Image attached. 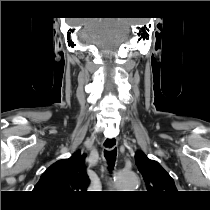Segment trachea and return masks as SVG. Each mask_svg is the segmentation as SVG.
<instances>
[{
  "label": "trachea",
  "instance_id": "obj_1",
  "mask_svg": "<svg viewBox=\"0 0 210 210\" xmlns=\"http://www.w3.org/2000/svg\"><path fill=\"white\" fill-rule=\"evenodd\" d=\"M116 155H117V149L114 148L113 150L110 151H104V156L107 160L108 163V169L111 172L113 170V167L115 165V161H116Z\"/></svg>",
  "mask_w": 210,
  "mask_h": 210
}]
</instances>
